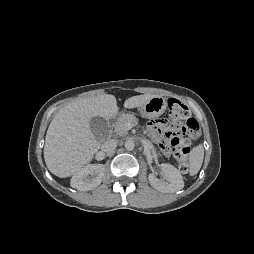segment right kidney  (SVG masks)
Listing matches in <instances>:
<instances>
[{
    "instance_id": "1",
    "label": "right kidney",
    "mask_w": 254,
    "mask_h": 254,
    "mask_svg": "<svg viewBox=\"0 0 254 254\" xmlns=\"http://www.w3.org/2000/svg\"><path fill=\"white\" fill-rule=\"evenodd\" d=\"M104 171L103 164H89L73 175L70 182L71 187L79 191L96 188L102 182Z\"/></svg>"
}]
</instances>
